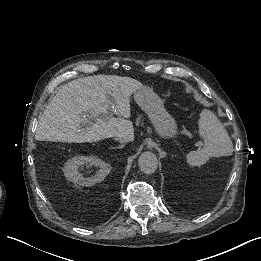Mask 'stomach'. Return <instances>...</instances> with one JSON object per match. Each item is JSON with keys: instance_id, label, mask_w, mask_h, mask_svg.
Listing matches in <instances>:
<instances>
[{"instance_id": "1", "label": "stomach", "mask_w": 261, "mask_h": 261, "mask_svg": "<svg viewBox=\"0 0 261 261\" xmlns=\"http://www.w3.org/2000/svg\"><path fill=\"white\" fill-rule=\"evenodd\" d=\"M134 100L148 115L157 134L172 138L177 132L175 119L165 110L164 102L152 89L142 86L133 92Z\"/></svg>"}]
</instances>
